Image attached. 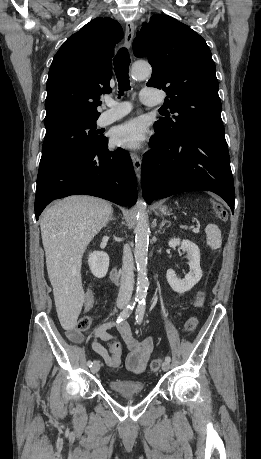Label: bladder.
<instances>
[{
	"label": "bladder",
	"instance_id": "bladder-1",
	"mask_svg": "<svg viewBox=\"0 0 261 459\" xmlns=\"http://www.w3.org/2000/svg\"><path fill=\"white\" fill-rule=\"evenodd\" d=\"M108 387L119 395H135L146 390L143 382L131 379H112L108 382Z\"/></svg>",
	"mask_w": 261,
	"mask_h": 459
}]
</instances>
